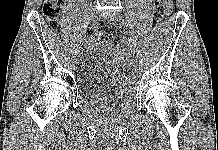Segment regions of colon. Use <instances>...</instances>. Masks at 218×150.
<instances>
[{
    "label": "colon",
    "instance_id": "1",
    "mask_svg": "<svg viewBox=\"0 0 218 150\" xmlns=\"http://www.w3.org/2000/svg\"><path fill=\"white\" fill-rule=\"evenodd\" d=\"M42 11L49 26L52 29L56 28L61 11V0H45ZM168 13L169 9L163 4L162 0H157L153 6L154 18L157 21H163L168 16ZM96 39L99 43L109 46L113 43L114 37L106 31H98Z\"/></svg>",
    "mask_w": 218,
    "mask_h": 150
}]
</instances>
